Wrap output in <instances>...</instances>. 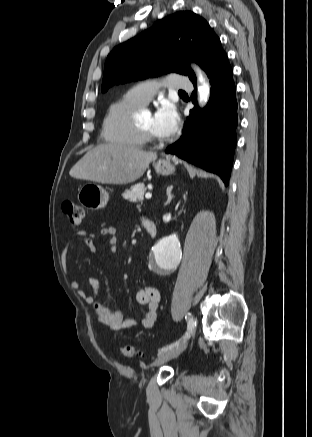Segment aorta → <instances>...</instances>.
<instances>
[{"mask_svg":"<svg viewBox=\"0 0 312 437\" xmlns=\"http://www.w3.org/2000/svg\"><path fill=\"white\" fill-rule=\"evenodd\" d=\"M199 81L203 85L199 89L200 103L206 102L209 97V86L204 82L199 70ZM155 267L158 271H166L178 264L181 258V248L176 234L167 236L160 240L154 248Z\"/></svg>","mask_w":312,"mask_h":437,"instance_id":"obj_1","label":"aorta"}]
</instances>
